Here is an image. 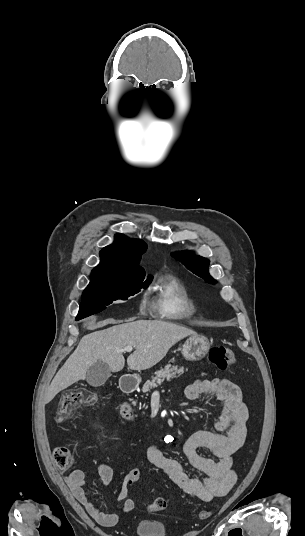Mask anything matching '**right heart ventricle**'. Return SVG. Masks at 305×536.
Listing matches in <instances>:
<instances>
[{
    "label": "right heart ventricle",
    "instance_id": "obj_1",
    "mask_svg": "<svg viewBox=\"0 0 305 536\" xmlns=\"http://www.w3.org/2000/svg\"><path fill=\"white\" fill-rule=\"evenodd\" d=\"M153 303L163 317L174 320L190 319L195 315V306L180 282L169 276L160 277L151 290Z\"/></svg>",
    "mask_w": 305,
    "mask_h": 536
}]
</instances>
